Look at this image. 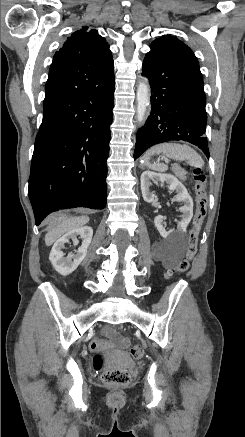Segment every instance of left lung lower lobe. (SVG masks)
<instances>
[{
  "mask_svg": "<svg viewBox=\"0 0 245 437\" xmlns=\"http://www.w3.org/2000/svg\"><path fill=\"white\" fill-rule=\"evenodd\" d=\"M142 75L151 86V114L138 130L134 159L148 148L182 140L198 146L207 157V114L199 66L162 47L153 48L143 61Z\"/></svg>",
  "mask_w": 245,
  "mask_h": 437,
  "instance_id": "left-lung-lower-lobe-1",
  "label": "left lung lower lobe"
}]
</instances>
